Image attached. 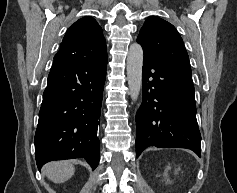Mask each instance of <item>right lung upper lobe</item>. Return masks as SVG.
<instances>
[{
  "label": "right lung upper lobe",
  "instance_id": "right-lung-upper-lobe-1",
  "mask_svg": "<svg viewBox=\"0 0 237 193\" xmlns=\"http://www.w3.org/2000/svg\"><path fill=\"white\" fill-rule=\"evenodd\" d=\"M58 53L82 61L106 57V41L96 20L84 17L76 21L66 32Z\"/></svg>",
  "mask_w": 237,
  "mask_h": 193
}]
</instances>
